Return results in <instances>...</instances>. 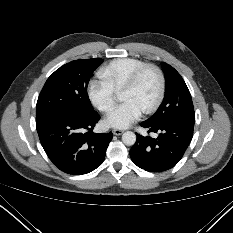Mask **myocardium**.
Here are the masks:
<instances>
[{"label": "myocardium", "instance_id": "f54148a6", "mask_svg": "<svg viewBox=\"0 0 233 233\" xmlns=\"http://www.w3.org/2000/svg\"><path fill=\"white\" fill-rule=\"evenodd\" d=\"M147 71H154L159 80V91L155 101L143 111L145 114H151L160 107L166 93V78L160 67L152 63L142 65L130 76V78L124 84L123 89L136 87Z\"/></svg>", "mask_w": 233, "mask_h": 233}]
</instances>
